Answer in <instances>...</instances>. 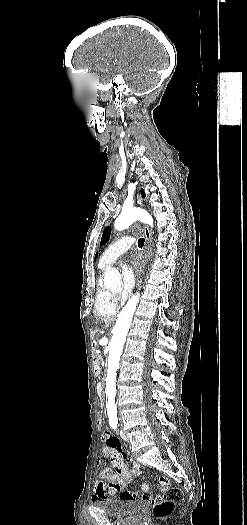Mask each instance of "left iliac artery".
I'll return each mask as SVG.
<instances>
[{"label":"left iliac artery","instance_id":"obj_1","mask_svg":"<svg viewBox=\"0 0 247 525\" xmlns=\"http://www.w3.org/2000/svg\"><path fill=\"white\" fill-rule=\"evenodd\" d=\"M110 425H111V427H112L113 429H117V427H118V423L115 422V421L111 422Z\"/></svg>","mask_w":247,"mask_h":525}]
</instances>
